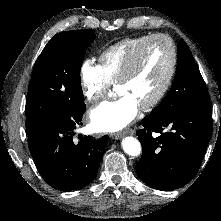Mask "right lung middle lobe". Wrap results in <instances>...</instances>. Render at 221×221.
Masks as SVG:
<instances>
[{
    "mask_svg": "<svg viewBox=\"0 0 221 221\" xmlns=\"http://www.w3.org/2000/svg\"><path fill=\"white\" fill-rule=\"evenodd\" d=\"M94 39L93 30H72L57 33L47 43L29 83L25 108L28 135L52 114L86 109L80 69Z\"/></svg>",
    "mask_w": 221,
    "mask_h": 221,
    "instance_id": "1",
    "label": "right lung middle lobe"
}]
</instances>
